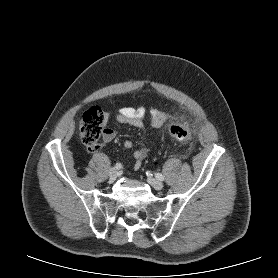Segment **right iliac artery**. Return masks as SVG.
I'll list each match as a JSON object with an SVG mask.
<instances>
[{
	"label": "right iliac artery",
	"mask_w": 278,
	"mask_h": 278,
	"mask_svg": "<svg viewBox=\"0 0 278 278\" xmlns=\"http://www.w3.org/2000/svg\"><path fill=\"white\" fill-rule=\"evenodd\" d=\"M115 168L118 169V170L121 169L122 168L121 163H116Z\"/></svg>",
	"instance_id": "82829eb1"
}]
</instances>
